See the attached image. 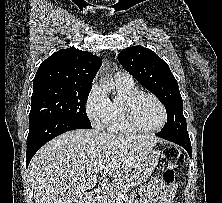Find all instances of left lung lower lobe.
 I'll return each instance as SVG.
<instances>
[{"label":"left lung lower lobe","instance_id":"left-lung-lower-lobe-1","mask_svg":"<svg viewBox=\"0 0 222 203\" xmlns=\"http://www.w3.org/2000/svg\"><path fill=\"white\" fill-rule=\"evenodd\" d=\"M157 136L166 139L168 141L174 142L180 146H182L183 148H185L189 154V156L191 157V142L189 139V135H183V134H164V133H158L156 134Z\"/></svg>","mask_w":222,"mask_h":203}]
</instances>
